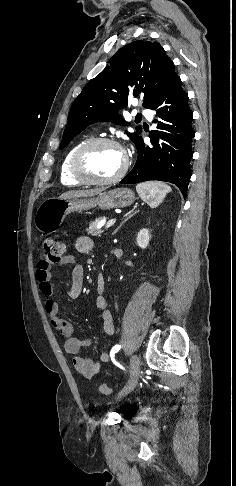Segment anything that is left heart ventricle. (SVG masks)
I'll use <instances>...</instances> for the list:
<instances>
[{
  "mask_svg": "<svg viewBox=\"0 0 236 486\" xmlns=\"http://www.w3.org/2000/svg\"><path fill=\"white\" fill-rule=\"evenodd\" d=\"M123 161L120 149L112 145H99L85 156L84 168L90 176L106 179L115 176L121 170Z\"/></svg>",
  "mask_w": 236,
  "mask_h": 486,
  "instance_id": "1",
  "label": "left heart ventricle"
}]
</instances>
